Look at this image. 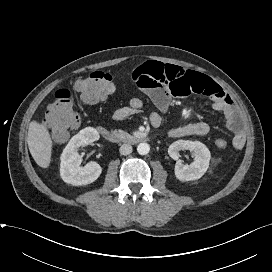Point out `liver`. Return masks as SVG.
<instances>
[{
    "instance_id": "liver-1",
    "label": "liver",
    "mask_w": 272,
    "mask_h": 272,
    "mask_svg": "<svg viewBox=\"0 0 272 272\" xmlns=\"http://www.w3.org/2000/svg\"><path fill=\"white\" fill-rule=\"evenodd\" d=\"M27 143L35 162L42 168H48L51 162L53 142L47 128L32 121L29 124Z\"/></svg>"
}]
</instances>
